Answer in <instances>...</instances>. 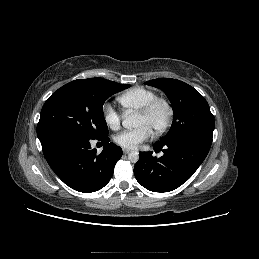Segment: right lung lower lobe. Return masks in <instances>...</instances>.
<instances>
[{
  "instance_id": "1",
  "label": "right lung lower lobe",
  "mask_w": 259,
  "mask_h": 259,
  "mask_svg": "<svg viewBox=\"0 0 259 259\" xmlns=\"http://www.w3.org/2000/svg\"><path fill=\"white\" fill-rule=\"evenodd\" d=\"M93 138L74 133H56L40 140L44 156L56 175L72 189L90 193L110 181L122 149L109 143L108 136L97 138L104 144L98 154L91 149Z\"/></svg>"
}]
</instances>
